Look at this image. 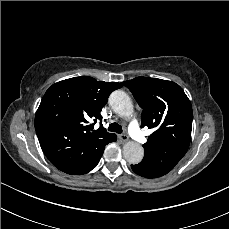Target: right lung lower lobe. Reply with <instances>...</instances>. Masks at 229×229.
I'll list each match as a JSON object with an SVG mask.
<instances>
[{
	"label": "right lung lower lobe",
	"instance_id": "98d812e1",
	"mask_svg": "<svg viewBox=\"0 0 229 229\" xmlns=\"http://www.w3.org/2000/svg\"><path fill=\"white\" fill-rule=\"evenodd\" d=\"M116 139H117L116 137H113L108 143L115 142ZM106 145H104L99 150V152L96 154V156L94 157V159L86 167H84L81 171H79L77 174H80V175L81 174H85V173L89 172L90 170H92L98 164V162H99V160H100V158H101V156H102V154L104 152V148H105Z\"/></svg>",
	"mask_w": 229,
	"mask_h": 229
}]
</instances>
